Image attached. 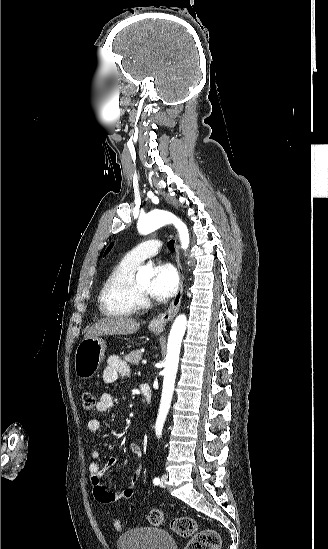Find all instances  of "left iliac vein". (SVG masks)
Here are the masks:
<instances>
[{
	"label": "left iliac vein",
	"mask_w": 328,
	"mask_h": 549,
	"mask_svg": "<svg viewBox=\"0 0 328 549\" xmlns=\"http://www.w3.org/2000/svg\"><path fill=\"white\" fill-rule=\"evenodd\" d=\"M166 480H167V475H165V474L162 475L161 481H160V486H161V487L164 488V487L166 486Z\"/></svg>",
	"instance_id": "4c4485c4"
}]
</instances>
